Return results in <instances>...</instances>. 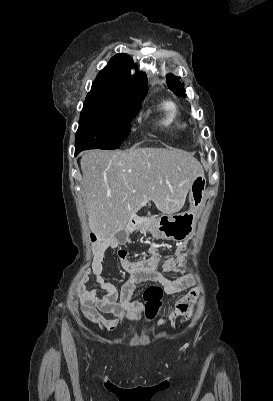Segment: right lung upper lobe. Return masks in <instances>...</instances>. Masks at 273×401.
Masks as SVG:
<instances>
[{
  "mask_svg": "<svg viewBox=\"0 0 273 401\" xmlns=\"http://www.w3.org/2000/svg\"><path fill=\"white\" fill-rule=\"evenodd\" d=\"M133 61L127 54H117L98 74L86 100L112 102L139 107L147 94V77L138 71L131 75Z\"/></svg>",
  "mask_w": 273,
  "mask_h": 401,
  "instance_id": "right-lung-upper-lobe-1",
  "label": "right lung upper lobe"
}]
</instances>
